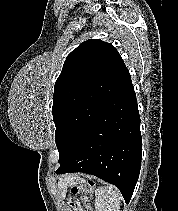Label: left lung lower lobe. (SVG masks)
Masks as SVG:
<instances>
[{
	"label": "left lung lower lobe",
	"instance_id": "1",
	"mask_svg": "<svg viewBox=\"0 0 178 211\" xmlns=\"http://www.w3.org/2000/svg\"><path fill=\"white\" fill-rule=\"evenodd\" d=\"M141 150L140 116L127 70L95 125L56 173L95 175L118 187L129 203L139 177Z\"/></svg>",
	"mask_w": 178,
	"mask_h": 211
}]
</instances>
